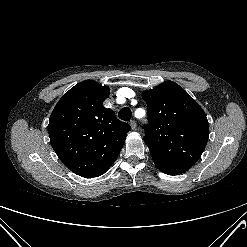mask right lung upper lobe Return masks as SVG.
<instances>
[{
    "mask_svg": "<svg viewBox=\"0 0 247 247\" xmlns=\"http://www.w3.org/2000/svg\"><path fill=\"white\" fill-rule=\"evenodd\" d=\"M109 88L85 80L71 88L55 106L48 125L50 143L75 174L102 175L115 162L131 130L103 106Z\"/></svg>",
    "mask_w": 247,
    "mask_h": 247,
    "instance_id": "right-lung-upper-lobe-1",
    "label": "right lung upper lobe"
}]
</instances>
